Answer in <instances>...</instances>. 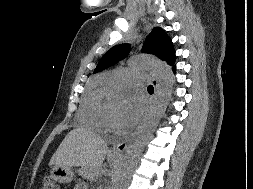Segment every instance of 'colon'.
<instances>
[{
    "label": "colon",
    "mask_w": 253,
    "mask_h": 189,
    "mask_svg": "<svg viewBox=\"0 0 253 189\" xmlns=\"http://www.w3.org/2000/svg\"><path fill=\"white\" fill-rule=\"evenodd\" d=\"M41 189H60V186L52 177L47 176L43 179Z\"/></svg>",
    "instance_id": "obj_1"
}]
</instances>
